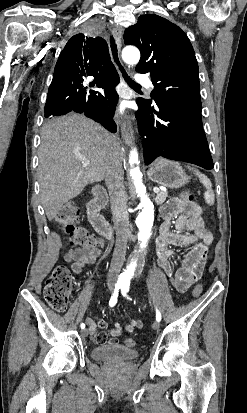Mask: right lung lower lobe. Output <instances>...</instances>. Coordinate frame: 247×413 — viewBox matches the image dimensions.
I'll use <instances>...</instances> for the list:
<instances>
[{
    "mask_svg": "<svg viewBox=\"0 0 247 413\" xmlns=\"http://www.w3.org/2000/svg\"><path fill=\"white\" fill-rule=\"evenodd\" d=\"M84 77L72 75L59 78L52 83H64L73 91L64 97L47 99L44 108L45 117L51 119L69 112L84 113L87 117L101 123L107 130L115 133L116 123L113 120L118 94L115 87L119 83L118 74L97 77V86L105 91V97L97 92L87 90L83 85Z\"/></svg>",
    "mask_w": 247,
    "mask_h": 413,
    "instance_id": "98d812e1",
    "label": "right lung lower lobe"
}]
</instances>
